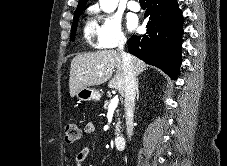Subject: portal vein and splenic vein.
<instances>
[{
  "instance_id": "portal-vein-and-splenic-vein-1",
  "label": "portal vein and splenic vein",
  "mask_w": 227,
  "mask_h": 166,
  "mask_svg": "<svg viewBox=\"0 0 227 166\" xmlns=\"http://www.w3.org/2000/svg\"><path fill=\"white\" fill-rule=\"evenodd\" d=\"M118 103H119L118 96H115L109 104V108H108L109 111H114L117 108Z\"/></svg>"
}]
</instances>
